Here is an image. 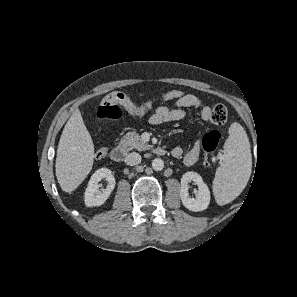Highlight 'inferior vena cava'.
<instances>
[{"mask_svg": "<svg viewBox=\"0 0 297 297\" xmlns=\"http://www.w3.org/2000/svg\"><path fill=\"white\" fill-rule=\"evenodd\" d=\"M125 162L127 165L134 166L141 162V155L137 152L129 153L126 156Z\"/></svg>", "mask_w": 297, "mask_h": 297, "instance_id": "inferior-vena-cava-1", "label": "inferior vena cava"}]
</instances>
